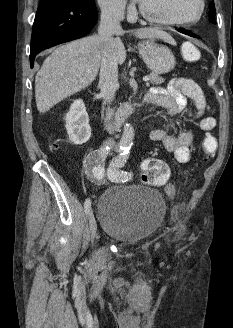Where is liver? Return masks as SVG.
Wrapping results in <instances>:
<instances>
[{"label": "liver", "instance_id": "1", "mask_svg": "<svg viewBox=\"0 0 233 328\" xmlns=\"http://www.w3.org/2000/svg\"><path fill=\"white\" fill-rule=\"evenodd\" d=\"M115 33L111 50L118 64L126 59V50ZM137 38H160L174 44V39L165 31L155 28L139 29L134 32ZM105 48L99 35L85 37L56 48L49 55L35 78V98L40 113L49 111L63 99L81 91L96 78Z\"/></svg>", "mask_w": 233, "mask_h": 328}]
</instances>
